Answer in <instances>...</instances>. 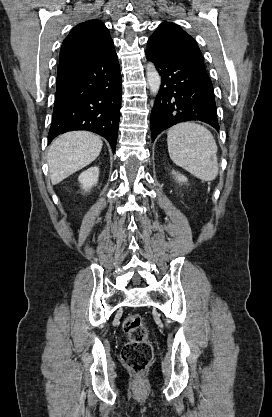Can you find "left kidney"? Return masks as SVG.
<instances>
[{
	"instance_id": "1",
	"label": "left kidney",
	"mask_w": 272,
	"mask_h": 417,
	"mask_svg": "<svg viewBox=\"0 0 272 417\" xmlns=\"http://www.w3.org/2000/svg\"><path fill=\"white\" fill-rule=\"evenodd\" d=\"M172 174L175 175L176 180L179 183H183V182H186L187 181V178L184 175L180 174V173H176L175 171H172Z\"/></svg>"
}]
</instances>
